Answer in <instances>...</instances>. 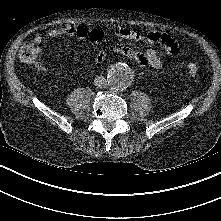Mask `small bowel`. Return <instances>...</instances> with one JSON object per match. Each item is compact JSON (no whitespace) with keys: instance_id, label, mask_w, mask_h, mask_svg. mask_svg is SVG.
Returning a JSON list of instances; mask_svg holds the SVG:
<instances>
[{"instance_id":"obj_1","label":"small bowel","mask_w":221,"mask_h":221,"mask_svg":"<svg viewBox=\"0 0 221 221\" xmlns=\"http://www.w3.org/2000/svg\"><path fill=\"white\" fill-rule=\"evenodd\" d=\"M112 34L123 40L134 42L147 41L152 45H159L169 55L179 53V46L175 40L163 32L149 31L147 33H141L126 27H118L112 29ZM47 35L49 38L76 37L81 40H89L97 47V54L94 58L95 67L102 66L106 58L104 33L98 29L64 25L49 29ZM42 41V36L37 35L34 37V43L36 45L41 44ZM38 50L40 52L39 48ZM113 50L133 60L140 68L161 69L164 67V61L160 58L156 48L153 46L142 52L133 47L118 43L114 45ZM36 68L41 71L45 70V66L40 62L36 63Z\"/></svg>"}]
</instances>
